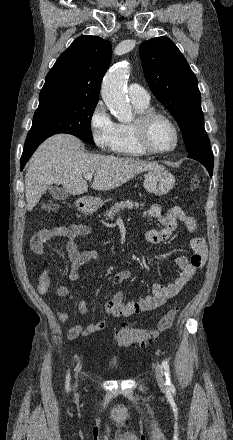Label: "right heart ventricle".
Here are the masks:
<instances>
[{
  "instance_id": "right-heart-ventricle-1",
  "label": "right heart ventricle",
  "mask_w": 233,
  "mask_h": 440,
  "mask_svg": "<svg viewBox=\"0 0 233 440\" xmlns=\"http://www.w3.org/2000/svg\"><path fill=\"white\" fill-rule=\"evenodd\" d=\"M134 107L138 113L149 110L148 105H139L134 103ZM132 123H119L117 126V139L115 145V153L126 157H142L147 155L138 145Z\"/></svg>"
}]
</instances>
